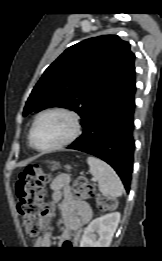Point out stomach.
<instances>
[{
	"label": "stomach",
	"instance_id": "0dacf381",
	"mask_svg": "<svg viewBox=\"0 0 162 261\" xmlns=\"http://www.w3.org/2000/svg\"><path fill=\"white\" fill-rule=\"evenodd\" d=\"M66 168H67V169H70V167H69V166H67ZM54 169H55V167H52V170H54Z\"/></svg>",
	"mask_w": 162,
	"mask_h": 261
}]
</instances>
